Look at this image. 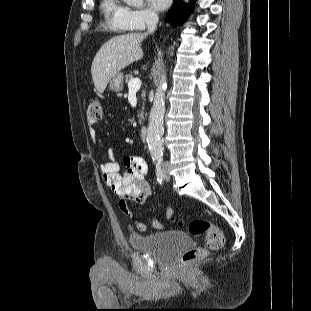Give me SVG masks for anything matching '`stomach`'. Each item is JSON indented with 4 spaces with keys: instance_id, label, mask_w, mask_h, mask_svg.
<instances>
[{
    "instance_id": "obj_1",
    "label": "stomach",
    "mask_w": 311,
    "mask_h": 311,
    "mask_svg": "<svg viewBox=\"0 0 311 311\" xmlns=\"http://www.w3.org/2000/svg\"><path fill=\"white\" fill-rule=\"evenodd\" d=\"M109 88L113 91L119 92L123 89V74L117 73L110 81Z\"/></svg>"
}]
</instances>
